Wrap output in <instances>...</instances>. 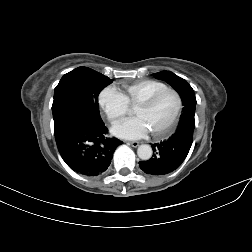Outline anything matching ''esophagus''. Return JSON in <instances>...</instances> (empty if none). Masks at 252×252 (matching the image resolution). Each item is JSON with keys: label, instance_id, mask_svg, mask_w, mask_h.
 Segmentation results:
<instances>
[{"label": "esophagus", "instance_id": "obj_1", "mask_svg": "<svg viewBox=\"0 0 252 252\" xmlns=\"http://www.w3.org/2000/svg\"><path fill=\"white\" fill-rule=\"evenodd\" d=\"M128 144L131 145L132 147L139 146V142H137V141L128 142Z\"/></svg>", "mask_w": 252, "mask_h": 252}]
</instances>
